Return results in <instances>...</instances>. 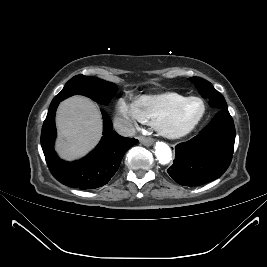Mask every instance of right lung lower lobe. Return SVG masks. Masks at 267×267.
Returning <instances> with one entry per match:
<instances>
[{
    "label": "right lung lower lobe",
    "mask_w": 267,
    "mask_h": 267,
    "mask_svg": "<svg viewBox=\"0 0 267 267\" xmlns=\"http://www.w3.org/2000/svg\"><path fill=\"white\" fill-rule=\"evenodd\" d=\"M59 102H51L41 132V145L47 165L53 176L62 184L79 189H95L109 182L119 168L126 151L138 140L125 138L112 129L108 114L103 115V137L86 157L75 162L60 160L53 148L56 137L55 112Z\"/></svg>",
    "instance_id": "obj_1"
}]
</instances>
